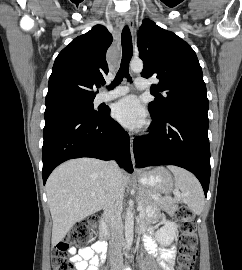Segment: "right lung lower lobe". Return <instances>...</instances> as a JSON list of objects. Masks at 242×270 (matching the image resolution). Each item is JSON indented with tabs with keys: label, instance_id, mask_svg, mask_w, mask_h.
I'll return each instance as SVG.
<instances>
[{
	"label": "right lung lower lobe",
	"instance_id": "right-lung-lower-lobe-1",
	"mask_svg": "<svg viewBox=\"0 0 242 270\" xmlns=\"http://www.w3.org/2000/svg\"><path fill=\"white\" fill-rule=\"evenodd\" d=\"M42 147L43 183L62 162L79 157L117 160L133 172L129 135L110 117V110L93 115L81 107L45 114Z\"/></svg>",
	"mask_w": 242,
	"mask_h": 270
}]
</instances>
